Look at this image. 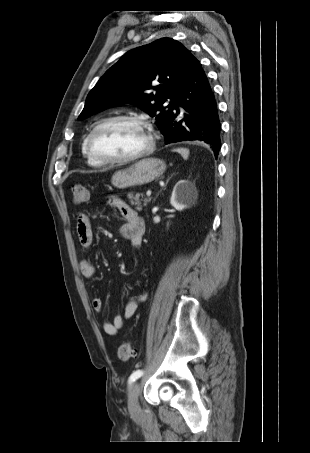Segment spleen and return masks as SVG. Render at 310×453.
<instances>
[{
	"instance_id": "obj_1",
	"label": "spleen",
	"mask_w": 310,
	"mask_h": 453,
	"mask_svg": "<svg viewBox=\"0 0 310 453\" xmlns=\"http://www.w3.org/2000/svg\"><path fill=\"white\" fill-rule=\"evenodd\" d=\"M174 151L178 152L179 154H181V156L184 158V159H187L188 156H189V150L186 149V148H177L175 149Z\"/></svg>"
}]
</instances>
